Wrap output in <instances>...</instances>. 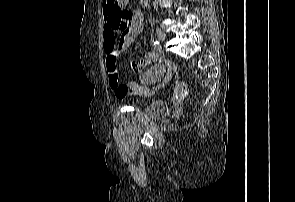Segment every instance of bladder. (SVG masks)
<instances>
[{"label": "bladder", "mask_w": 295, "mask_h": 202, "mask_svg": "<svg viewBox=\"0 0 295 202\" xmlns=\"http://www.w3.org/2000/svg\"><path fill=\"white\" fill-rule=\"evenodd\" d=\"M144 112L146 116L151 119H159L167 116L169 108L165 102L161 100H153L146 105Z\"/></svg>", "instance_id": "31cf9c89"}]
</instances>
